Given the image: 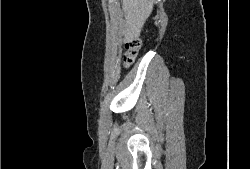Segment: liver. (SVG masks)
Wrapping results in <instances>:
<instances>
[{
    "instance_id": "6515ba94",
    "label": "liver",
    "mask_w": 250,
    "mask_h": 169,
    "mask_svg": "<svg viewBox=\"0 0 250 169\" xmlns=\"http://www.w3.org/2000/svg\"><path fill=\"white\" fill-rule=\"evenodd\" d=\"M154 0H122L127 28L124 30V40L140 36V32L153 10Z\"/></svg>"
}]
</instances>
